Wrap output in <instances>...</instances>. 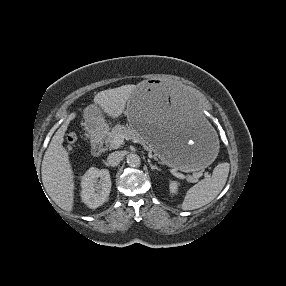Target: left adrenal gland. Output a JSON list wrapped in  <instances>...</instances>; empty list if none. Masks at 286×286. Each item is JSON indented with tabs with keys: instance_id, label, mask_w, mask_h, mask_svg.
Here are the masks:
<instances>
[{
	"instance_id": "a2214340",
	"label": "left adrenal gland",
	"mask_w": 286,
	"mask_h": 286,
	"mask_svg": "<svg viewBox=\"0 0 286 286\" xmlns=\"http://www.w3.org/2000/svg\"><path fill=\"white\" fill-rule=\"evenodd\" d=\"M149 165H150V168H151L152 171H153V170L161 171L160 168H158L156 165H153L151 162H149Z\"/></svg>"
}]
</instances>
